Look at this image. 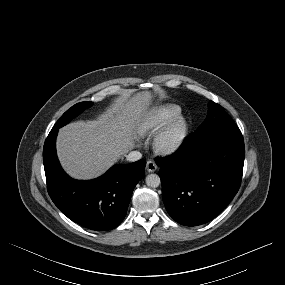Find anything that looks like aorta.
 I'll return each instance as SVG.
<instances>
[{"mask_svg": "<svg viewBox=\"0 0 285 285\" xmlns=\"http://www.w3.org/2000/svg\"><path fill=\"white\" fill-rule=\"evenodd\" d=\"M146 184L151 188H156L160 185V177L157 174H149L146 176Z\"/></svg>", "mask_w": 285, "mask_h": 285, "instance_id": "aorta-1", "label": "aorta"}]
</instances>
